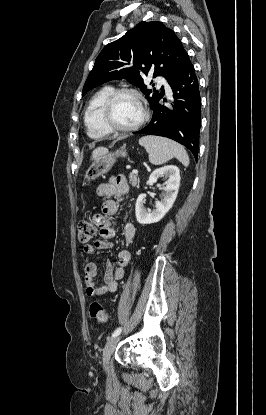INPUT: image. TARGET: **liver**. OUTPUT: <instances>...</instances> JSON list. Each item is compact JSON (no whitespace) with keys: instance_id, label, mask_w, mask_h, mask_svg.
I'll use <instances>...</instances> for the list:
<instances>
[{"instance_id":"liver-1","label":"liver","mask_w":266,"mask_h":415,"mask_svg":"<svg viewBox=\"0 0 266 415\" xmlns=\"http://www.w3.org/2000/svg\"><path fill=\"white\" fill-rule=\"evenodd\" d=\"M107 149L104 147H98L92 152V158H95L101 154H103Z\"/></svg>"}]
</instances>
